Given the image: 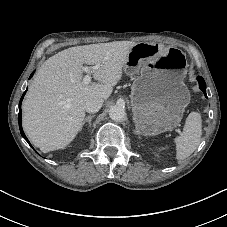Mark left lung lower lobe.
<instances>
[{"label": "left lung lower lobe", "mask_w": 227, "mask_h": 227, "mask_svg": "<svg viewBox=\"0 0 227 227\" xmlns=\"http://www.w3.org/2000/svg\"><path fill=\"white\" fill-rule=\"evenodd\" d=\"M197 80L199 82V87L200 89L203 91V93L205 94V96L207 97L206 95V84H205V81L202 77L198 76L197 77Z\"/></svg>", "instance_id": "obj_1"}]
</instances>
